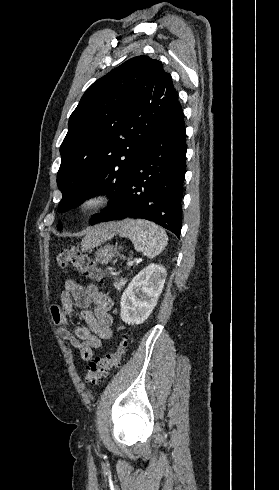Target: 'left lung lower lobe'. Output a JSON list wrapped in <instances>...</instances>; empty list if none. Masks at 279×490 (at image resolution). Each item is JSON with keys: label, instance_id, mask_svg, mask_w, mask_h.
Instances as JSON below:
<instances>
[{"label": "left lung lower lobe", "instance_id": "obj_1", "mask_svg": "<svg viewBox=\"0 0 279 490\" xmlns=\"http://www.w3.org/2000/svg\"><path fill=\"white\" fill-rule=\"evenodd\" d=\"M186 150L184 118L179 103L148 137L125 180L116 206L100 221L146 219L179 238Z\"/></svg>", "mask_w": 279, "mask_h": 490}]
</instances>
